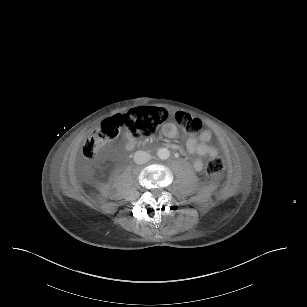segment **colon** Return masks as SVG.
Returning a JSON list of instances; mask_svg holds the SVG:
<instances>
[{
  "label": "colon",
  "instance_id": "1",
  "mask_svg": "<svg viewBox=\"0 0 307 307\" xmlns=\"http://www.w3.org/2000/svg\"><path fill=\"white\" fill-rule=\"evenodd\" d=\"M170 113L164 108L137 107L124 115H117L102 121L83 143L81 154L85 160L93 159L104 143L116 138L121 131H127L134 137H147L166 121ZM174 118L188 135H197L202 131L200 119L187 112L178 111ZM224 161L219 155H212L206 163V172L216 176L222 173Z\"/></svg>",
  "mask_w": 307,
  "mask_h": 307
}]
</instances>
